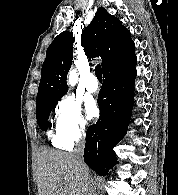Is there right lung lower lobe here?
<instances>
[{
    "label": "right lung lower lobe",
    "mask_w": 178,
    "mask_h": 195,
    "mask_svg": "<svg viewBox=\"0 0 178 195\" xmlns=\"http://www.w3.org/2000/svg\"><path fill=\"white\" fill-rule=\"evenodd\" d=\"M135 66L136 62L104 75L98 95L100 118L86 133L84 161L101 176L117 163L113 148L127 131L134 103Z\"/></svg>",
    "instance_id": "1"
}]
</instances>
